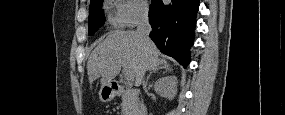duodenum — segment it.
Instances as JSON below:
<instances>
[{
  "instance_id": "1",
  "label": "duodenum",
  "mask_w": 285,
  "mask_h": 115,
  "mask_svg": "<svg viewBox=\"0 0 285 115\" xmlns=\"http://www.w3.org/2000/svg\"><path fill=\"white\" fill-rule=\"evenodd\" d=\"M110 89L112 90V91H115V92H119V91H121V90H123V86H122V84H120L119 82H113V83H111L110 84ZM135 114L136 115H145L146 113H145V108L144 107H141L139 110H137L136 112H135Z\"/></svg>"
}]
</instances>
